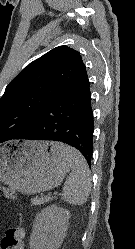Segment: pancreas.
I'll use <instances>...</instances> for the list:
<instances>
[{
	"mask_svg": "<svg viewBox=\"0 0 135 249\" xmlns=\"http://www.w3.org/2000/svg\"><path fill=\"white\" fill-rule=\"evenodd\" d=\"M50 200V197L48 196H41V197H35L31 203L32 205H41L44 204L46 202H48Z\"/></svg>",
	"mask_w": 135,
	"mask_h": 249,
	"instance_id": "obj_1",
	"label": "pancreas"
}]
</instances>
